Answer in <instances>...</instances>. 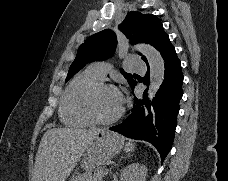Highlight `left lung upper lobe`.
I'll use <instances>...</instances> for the list:
<instances>
[{
    "label": "left lung upper lobe",
    "mask_w": 228,
    "mask_h": 181,
    "mask_svg": "<svg viewBox=\"0 0 228 181\" xmlns=\"http://www.w3.org/2000/svg\"><path fill=\"white\" fill-rule=\"evenodd\" d=\"M119 29L130 39L131 43H148L155 48L168 37L163 29L161 21L152 14L141 12H129L124 21L119 25ZM117 45L116 35L109 29L91 35L78 49L75 60L70 66L67 82L87 63L93 61L106 60L113 56ZM143 60H146L142 56ZM121 73L131 86L136 82L134 75L126 73L121 69Z\"/></svg>",
    "instance_id": "left-lung-upper-lobe-1"
}]
</instances>
